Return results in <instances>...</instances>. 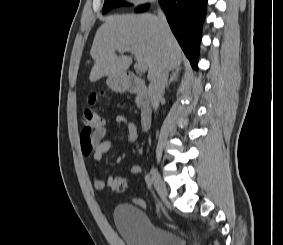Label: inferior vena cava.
Segmentation results:
<instances>
[{
	"mask_svg": "<svg viewBox=\"0 0 283 245\" xmlns=\"http://www.w3.org/2000/svg\"><path fill=\"white\" fill-rule=\"evenodd\" d=\"M158 19L161 28L164 32L169 31V26L163 11L158 8ZM170 68L167 62H163L159 68L156 70L154 76L152 77L149 85V98L153 109L156 111L159 107L160 99L164 94L165 85L167 83L168 74Z\"/></svg>",
	"mask_w": 283,
	"mask_h": 245,
	"instance_id": "obj_1",
	"label": "inferior vena cava"
}]
</instances>
